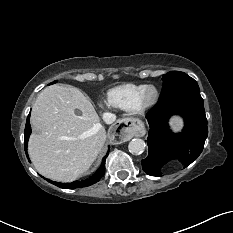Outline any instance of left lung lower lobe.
Masks as SVG:
<instances>
[{"label":"left lung lower lobe","instance_id":"obj_1","mask_svg":"<svg viewBox=\"0 0 233 233\" xmlns=\"http://www.w3.org/2000/svg\"><path fill=\"white\" fill-rule=\"evenodd\" d=\"M179 114L185 127L174 134L168 129V120ZM147 138L148 157L141 161L143 170L151 176H162L163 166L177 160L184 168L201 154L208 135L204 102L199 89H185L168 96L151 110Z\"/></svg>","mask_w":233,"mask_h":233}]
</instances>
